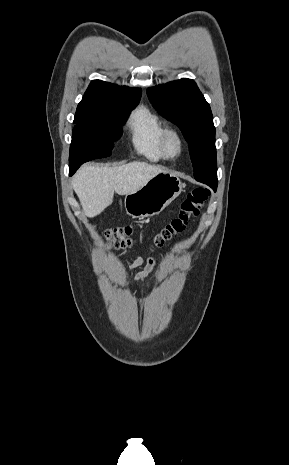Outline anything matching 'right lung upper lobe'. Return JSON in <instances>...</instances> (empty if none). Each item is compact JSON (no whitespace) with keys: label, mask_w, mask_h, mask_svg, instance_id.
<instances>
[{"label":"right lung upper lobe","mask_w":289,"mask_h":465,"mask_svg":"<svg viewBox=\"0 0 289 465\" xmlns=\"http://www.w3.org/2000/svg\"><path fill=\"white\" fill-rule=\"evenodd\" d=\"M138 88L118 87L101 80H93L78 104L74 122H98L103 120L108 107L114 103L139 101Z\"/></svg>","instance_id":"right-lung-upper-lobe-1"}]
</instances>
